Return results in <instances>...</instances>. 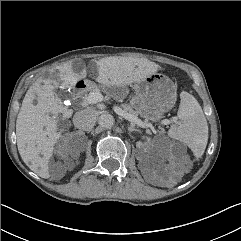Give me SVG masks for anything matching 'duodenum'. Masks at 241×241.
I'll list each match as a JSON object with an SVG mask.
<instances>
[{
	"label": "duodenum",
	"instance_id": "obj_1",
	"mask_svg": "<svg viewBox=\"0 0 241 241\" xmlns=\"http://www.w3.org/2000/svg\"><path fill=\"white\" fill-rule=\"evenodd\" d=\"M89 83L86 81H78L74 84L73 86V96L75 99H77L84 90H86L87 88H89Z\"/></svg>",
	"mask_w": 241,
	"mask_h": 241
}]
</instances>
